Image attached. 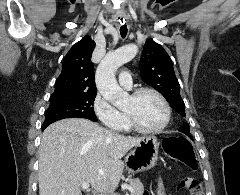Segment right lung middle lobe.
Returning <instances> with one entry per match:
<instances>
[{"mask_svg":"<svg viewBox=\"0 0 240 195\" xmlns=\"http://www.w3.org/2000/svg\"><path fill=\"white\" fill-rule=\"evenodd\" d=\"M95 96L96 94L52 95L43 128L64 118L78 117L97 121L93 108Z\"/></svg>","mask_w":240,"mask_h":195,"instance_id":"1","label":"right lung middle lobe"}]
</instances>
